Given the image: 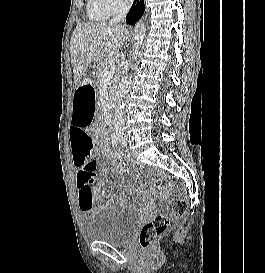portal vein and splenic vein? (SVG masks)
<instances>
[{"mask_svg":"<svg viewBox=\"0 0 265 273\" xmlns=\"http://www.w3.org/2000/svg\"><path fill=\"white\" fill-rule=\"evenodd\" d=\"M115 69H116V65L114 62H110L109 66L105 69L104 71V78H110L114 72H115Z\"/></svg>","mask_w":265,"mask_h":273,"instance_id":"portal-vein-and-splenic-vein-1","label":"portal vein and splenic vein"}]
</instances>
